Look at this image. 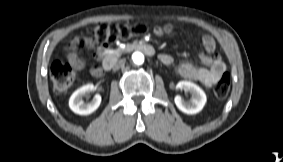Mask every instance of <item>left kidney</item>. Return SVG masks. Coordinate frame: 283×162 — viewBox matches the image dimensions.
<instances>
[{
	"label": "left kidney",
	"instance_id": "obj_1",
	"mask_svg": "<svg viewBox=\"0 0 283 162\" xmlns=\"http://www.w3.org/2000/svg\"><path fill=\"white\" fill-rule=\"evenodd\" d=\"M176 87L191 94L190 100H183L179 95L174 98L175 104L180 111L186 114H196L203 109L207 97L198 85L190 81H180Z\"/></svg>",
	"mask_w": 283,
	"mask_h": 162
}]
</instances>
